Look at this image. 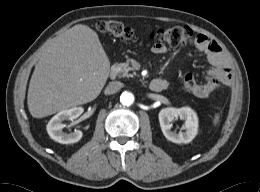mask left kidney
Wrapping results in <instances>:
<instances>
[{
    "instance_id": "5707ae66",
    "label": "left kidney",
    "mask_w": 260,
    "mask_h": 192,
    "mask_svg": "<svg viewBox=\"0 0 260 192\" xmlns=\"http://www.w3.org/2000/svg\"><path fill=\"white\" fill-rule=\"evenodd\" d=\"M175 117L185 121V131H179L178 133L171 131L172 121ZM161 130L171 142L189 143L198 133V118L197 114L190 107L173 108L167 107L160 110L158 114Z\"/></svg>"
}]
</instances>
